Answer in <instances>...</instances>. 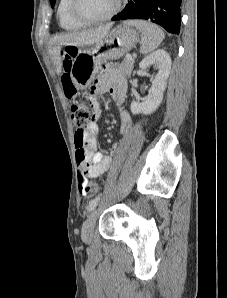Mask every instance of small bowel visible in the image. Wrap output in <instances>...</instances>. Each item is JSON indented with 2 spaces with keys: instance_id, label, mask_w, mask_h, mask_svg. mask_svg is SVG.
Segmentation results:
<instances>
[{
  "instance_id": "small-bowel-1",
  "label": "small bowel",
  "mask_w": 227,
  "mask_h": 298,
  "mask_svg": "<svg viewBox=\"0 0 227 298\" xmlns=\"http://www.w3.org/2000/svg\"><path fill=\"white\" fill-rule=\"evenodd\" d=\"M127 91L126 79L112 66L108 65L104 68L99 78H95L91 82V98H84V103H93L87 105L89 115L92 122L84 131L85 138V159L80 160L76 155V162L79 173H86V179L101 178L110 168L112 158L110 154H102L97 152V135L99 133L98 118L102 114L100 107V95L108 93L113 98L116 106L120 110L121 134H126L131 126L132 119L127 111L123 109L125 95ZM114 151V148L112 152ZM84 194V193H83Z\"/></svg>"
}]
</instances>
